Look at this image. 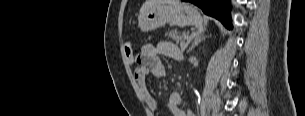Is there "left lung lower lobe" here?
Returning a JSON list of instances; mask_svg holds the SVG:
<instances>
[{
  "instance_id": "1",
  "label": "left lung lower lobe",
  "mask_w": 305,
  "mask_h": 116,
  "mask_svg": "<svg viewBox=\"0 0 305 116\" xmlns=\"http://www.w3.org/2000/svg\"><path fill=\"white\" fill-rule=\"evenodd\" d=\"M187 1L200 7L205 14L213 16L218 20H220L225 27L229 29L232 28L229 0H187Z\"/></svg>"
}]
</instances>
